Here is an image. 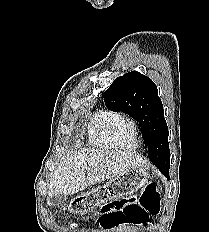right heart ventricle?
Instances as JSON below:
<instances>
[{"label": "right heart ventricle", "mask_w": 209, "mask_h": 232, "mask_svg": "<svg viewBox=\"0 0 209 232\" xmlns=\"http://www.w3.org/2000/svg\"><path fill=\"white\" fill-rule=\"evenodd\" d=\"M119 115L120 113L109 109H101L93 115L89 126V139L92 145L104 150L118 148L110 138L109 127ZM137 147L138 143L134 138L130 150H135Z\"/></svg>", "instance_id": "e07e8e85"}]
</instances>
